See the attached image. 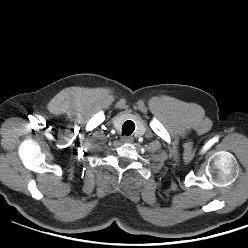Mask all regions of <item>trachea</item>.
<instances>
[{
    "label": "trachea",
    "instance_id": "trachea-1",
    "mask_svg": "<svg viewBox=\"0 0 248 248\" xmlns=\"http://www.w3.org/2000/svg\"><path fill=\"white\" fill-rule=\"evenodd\" d=\"M135 130V124L131 120H127L122 126V135L129 136Z\"/></svg>",
    "mask_w": 248,
    "mask_h": 248
}]
</instances>
